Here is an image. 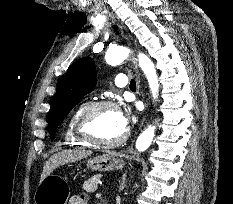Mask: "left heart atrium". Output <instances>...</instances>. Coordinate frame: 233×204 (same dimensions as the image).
<instances>
[{
    "label": "left heart atrium",
    "instance_id": "obj_1",
    "mask_svg": "<svg viewBox=\"0 0 233 204\" xmlns=\"http://www.w3.org/2000/svg\"><path fill=\"white\" fill-rule=\"evenodd\" d=\"M119 121L122 128L125 130L128 126V117L125 113L119 112Z\"/></svg>",
    "mask_w": 233,
    "mask_h": 204
}]
</instances>
